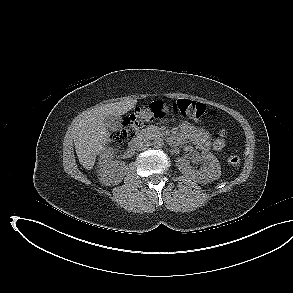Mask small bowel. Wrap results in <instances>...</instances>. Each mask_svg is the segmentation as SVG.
Instances as JSON below:
<instances>
[{
  "label": "small bowel",
  "instance_id": "1",
  "mask_svg": "<svg viewBox=\"0 0 293 293\" xmlns=\"http://www.w3.org/2000/svg\"><path fill=\"white\" fill-rule=\"evenodd\" d=\"M183 139L191 140L201 150H209L212 146L209 133L205 129L189 122H183L181 124L180 134L176 136L177 141Z\"/></svg>",
  "mask_w": 293,
  "mask_h": 293
}]
</instances>
